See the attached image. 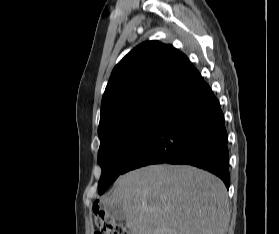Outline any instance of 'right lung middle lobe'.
Masks as SVG:
<instances>
[{
	"instance_id": "right-lung-middle-lobe-1",
	"label": "right lung middle lobe",
	"mask_w": 279,
	"mask_h": 234,
	"mask_svg": "<svg viewBox=\"0 0 279 234\" xmlns=\"http://www.w3.org/2000/svg\"><path fill=\"white\" fill-rule=\"evenodd\" d=\"M168 107L150 105L119 114L98 128V163L102 168L98 192L104 191L123 173L139 145L161 119Z\"/></svg>"
}]
</instances>
